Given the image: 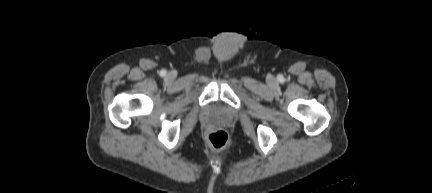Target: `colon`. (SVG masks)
Returning a JSON list of instances; mask_svg holds the SVG:
<instances>
[{
  "instance_id": "5ec220e1",
  "label": "colon",
  "mask_w": 432,
  "mask_h": 193,
  "mask_svg": "<svg viewBox=\"0 0 432 193\" xmlns=\"http://www.w3.org/2000/svg\"><path fill=\"white\" fill-rule=\"evenodd\" d=\"M209 144L216 150L224 149L228 144V135L222 130L212 132L208 136Z\"/></svg>"
}]
</instances>
